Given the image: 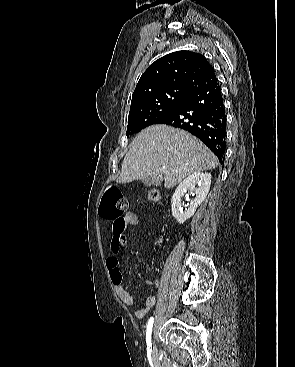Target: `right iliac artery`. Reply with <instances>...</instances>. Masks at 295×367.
<instances>
[{
    "label": "right iliac artery",
    "mask_w": 295,
    "mask_h": 367,
    "mask_svg": "<svg viewBox=\"0 0 295 367\" xmlns=\"http://www.w3.org/2000/svg\"><path fill=\"white\" fill-rule=\"evenodd\" d=\"M153 322H154V318L151 317L148 320L147 331H146L147 351L149 354L152 352L151 332H152Z\"/></svg>",
    "instance_id": "82829eb1"
}]
</instances>
